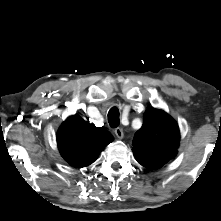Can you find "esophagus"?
<instances>
[{
    "label": "esophagus",
    "instance_id": "1",
    "mask_svg": "<svg viewBox=\"0 0 221 221\" xmlns=\"http://www.w3.org/2000/svg\"><path fill=\"white\" fill-rule=\"evenodd\" d=\"M114 133L119 139H122L124 136L123 129L119 127L115 128Z\"/></svg>",
    "mask_w": 221,
    "mask_h": 221
}]
</instances>
